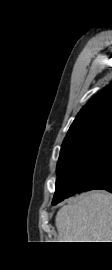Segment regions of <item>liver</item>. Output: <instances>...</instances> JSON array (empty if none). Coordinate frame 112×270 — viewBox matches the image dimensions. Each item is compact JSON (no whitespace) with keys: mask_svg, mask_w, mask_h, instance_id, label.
I'll use <instances>...</instances> for the list:
<instances>
[{"mask_svg":"<svg viewBox=\"0 0 112 270\" xmlns=\"http://www.w3.org/2000/svg\"><path fill=\"white\" fill-rule=\"evenodd\" d=\"M55 224L59 242H112V194L98 190L72 199Z\"/></svg>","mask_w":112,"mask_h":270,"instance_id":"liver-1","label":"liver"}]
</instances>
